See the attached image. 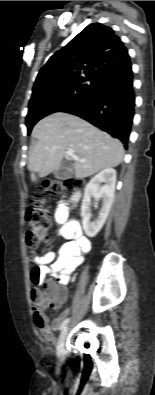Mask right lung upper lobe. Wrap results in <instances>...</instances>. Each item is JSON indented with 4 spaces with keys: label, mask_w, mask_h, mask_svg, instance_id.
<instances>
[{
    "label": "right lung upper lobe",
    "mask_w": 155,
    "mask_h": 395,
    "mask_svg": "<svg viewBox=\"0 0 155 395\" xmlns=\"http://www.w3.org/2000/svg\"><path fill=\"white\" fill-rule=\"evenodd\" d=\"M131 66L127 48L112 28L100 23L88 25L41 68L33 94L55 84L91 79ZM32 94V95H33Z\"/></svg>",
    "instance_id": "obj_1"
}]
</instances>
